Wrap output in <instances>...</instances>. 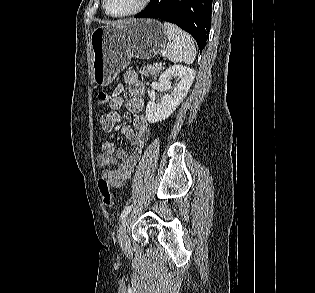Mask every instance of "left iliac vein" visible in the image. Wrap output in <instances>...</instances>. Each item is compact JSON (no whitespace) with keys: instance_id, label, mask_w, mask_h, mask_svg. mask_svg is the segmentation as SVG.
Masks as SVG:
<instances>
[{"instance_id":"4c4485c4","label":"left iliac vein","mask_w":315,"mask_h":293,"mask_svg":"<svg viewBox=\"0 0 315 293\" xmlns=\"http://www.w3.org/2000/svg\"><path fill=\"white\" fill-rule=\"evenodd\" d=\"M129 220H130L129 216L124 217L118 230V238L120 245L125 250L128 249L129 247V241L127 236V227L129 225Z\"/></svg>"}]
</instances>
